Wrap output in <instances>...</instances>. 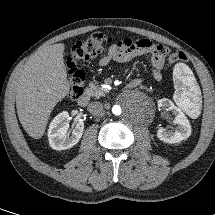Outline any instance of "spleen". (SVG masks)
<instances>
[{
	"instance_id": "3e777b00",
	"label": "spleen",
	"mask_w": 215,
	"mask_h": 215,
	"mask_svg": "<svg viewBox=\"0 0 215 215\" xmlns=\"http://www.w3.org/2000/svg\"><path fill=\"white\" fill-rule=\"evenodd\" d=\"M174 100L188 114L195 112L201 105V93L195 78L187 66L178 63L174 68Z\"/></svg>"
}]
</instances>
